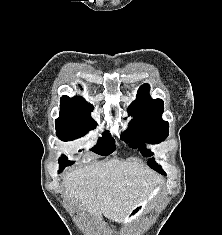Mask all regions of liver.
I'll return each mask as SVG.
<instances>
[{
	"label": "liver",
	"mask_w": 222,
	"mask_h": 235,
	"mask_svg": "<svg viewBox=\"0 0 222 235\" xmlns=\"http://www.w3.org/2000/svg\"><path fill=\"white\" fill-rule=\"evenodd\" d=\"M162 180L146 166L113 158L67 173L63 185L69 198L81 201L91 215L121 223Z\"/></svg>",
	"instance_id": "obj_1"
}]
</instances>
